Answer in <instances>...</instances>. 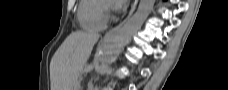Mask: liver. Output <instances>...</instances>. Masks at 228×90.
<instances>
[{"label":"liver","instance_id":"obj_1","mask_svg":"<svg viewBox=\"0 0 228 90\" xmlns=\"http://www.w3.org/2000/svg\"><path fill=\"white\" fill-rule=\"evenodd\" d=\"M98 34L72 32L55 52L50 63L51 90H76L80 73L86 64Z\"/></svg>","mask_w":228,"mask_h":90}]
</instances>
